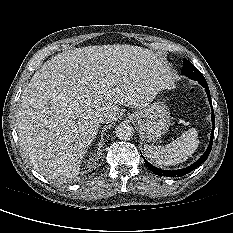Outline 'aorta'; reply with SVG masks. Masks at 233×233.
Here are the masks:
<instances>
[{"instance_id":"762f6f07","label":"aorta","mask_w":233,"mask_h":233,"mask_svg":"<svg viewBox=\"0 0 233 233\" xmlns=\"http://www.w3.org/2000/svg\"><path fill=\"white\" fill-rule=\"evenodd\" d=\"M116 136L120 140H130L134 135L133 127L128 123H120L115 128Z\"/></svg>"}]
</instances>
